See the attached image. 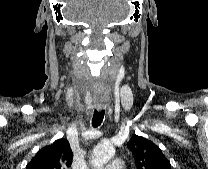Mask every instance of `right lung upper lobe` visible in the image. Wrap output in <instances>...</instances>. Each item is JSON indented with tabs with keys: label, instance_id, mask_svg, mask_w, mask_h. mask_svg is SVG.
Masks as SVG:
<instances>
[{
	"label": "right lung upper lobe",
	"instance_id": "cb5924a9",
	"mask_svg": "<svg viewBox=\"0 0 208 169\" xmlns=\"http://www.w3.org/2000/svg\"><path fill=\"white\" fill-rule=\"evenodd\" d=\"M72 157L69 142L61 138L39 150L26 169H68L71 166Z\"/></svg>",
	"mask_w": 208,
	"mask_h": 169
}]
</instances>
